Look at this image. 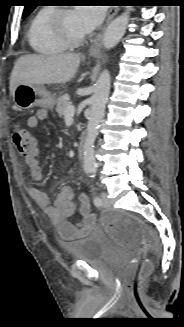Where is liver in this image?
<instances>
[{
  "label": "liver",
  "mask_w": 184,
  "mask_h": 327,
  "mask_svg": "<svg viewBox=\"0 0 184 327\" xmlns=\"http://www.w3.org/2000/svg\"><path fill=\"white\" fill-rule=\"evenodd\" d=\"M80 60V55L74 53L21 56L15 62L10 76L11 96L19 84L44 85L69 82L75 76Z\"/></svg>",
  "instance_id": "obj_1"
}]
</instances>
